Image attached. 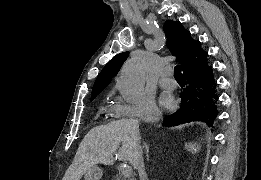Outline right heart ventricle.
<instances>
[{
    "mask_svg": "<svg viewBox=\"0 0 261 180\" xmlns=\"http://www.w3.org/2000/svg\"><path fill=\"white\" fill-rule=\"evenodd\" d=\"M100 110H101L102 113H106V111H104V108H103V107H101ZM114 112H117L114 107H112V108L109 109L110 115H112V113H114ZM107 116H108V114L106 113V118H103L101 121H106Z\"/></svg>",
    "mask_w": 261,
    "mask_h": 180,
    "instance_id": "1",
    "label": "right heart ventricle"
}]
</instances>
